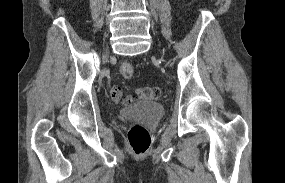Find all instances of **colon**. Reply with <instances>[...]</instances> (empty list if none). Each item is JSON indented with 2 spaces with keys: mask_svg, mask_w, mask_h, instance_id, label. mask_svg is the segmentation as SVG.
Here are the masks:
<instances>
[{
  "mask_svg": "<svg viewBox=\"0 0 285 183\" xmlns=\"http://www.w3.org/2000/svg\"><path fill=\"white\" fill-rule=\"evenodd\" d=\"M120 73L125 79H131L134 75V66L131 63H123L120 67ZM161 95L162 90L159 87H144L137 89L136 95L126 98L124 102L131 104L137 99L157 100ZM128 142L132 152L141 155L148 150L151 144V136L145 127L140 124H133L128 133Z\"/></svg>",
  "mask_w": 285,
  "mask_h": 183,
  "instance_id": "5ec220e1",
  "label": "colon"
}]
</instances>
